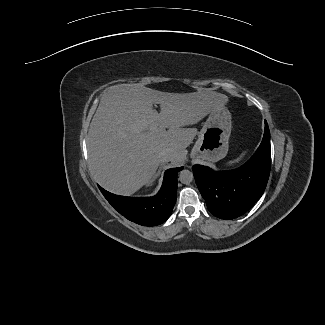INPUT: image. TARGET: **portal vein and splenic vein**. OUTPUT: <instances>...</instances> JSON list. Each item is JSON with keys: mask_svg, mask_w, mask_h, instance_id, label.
<instances>
[{"mask_svg": "<svg viewBox=\"0 0 325 325\" xmlns=\"http://www.w3.org/2000/svg\"><path fill=\"white\" fill-rule=\"evenodd\" d=\"M160 130H164L165 128L164 127H162V126H160V128H159Z\"/></svg>", "mask_w": 325, "mask_h": 325, "instance_id": "obj_1", "label": "portal vein and splenic vein"}]
</instances>
